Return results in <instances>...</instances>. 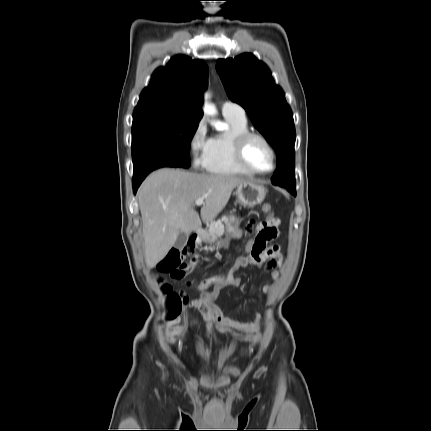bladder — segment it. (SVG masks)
<instances>
[{"instance_id": "obj_1", "label": "bladder", "mask_w": 431, "mask_h": 431, "mask_svg": "<svg viewBox=\"0 0 431 431\" xmlns=\"http://www.w3.org/2000/svg\"><path fill=\"white\" fill-rule=\"evenodd\" d=\"M238 372V369L234 366H230L226 369V374L228 376H235Z\"/></svg>"}]
</instances>
